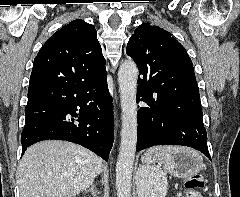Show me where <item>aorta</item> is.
<instances>
[{"mask_svg":"<svg viewBox=\"0 0 240 197\" xmlns=\"http://www.w3.org/2000/svg\"><path fill=\"white\" fill-rule=\"evenodd\" d=\"M137 80L136 63L131 59L123 61L118 71L122 129L116 164L117 197H131V180L137 144Z\"/></svg>","mask_w":240,"mask_h":197,"instance_id":"762f6f07","label":"aorta"}]
</instances>
